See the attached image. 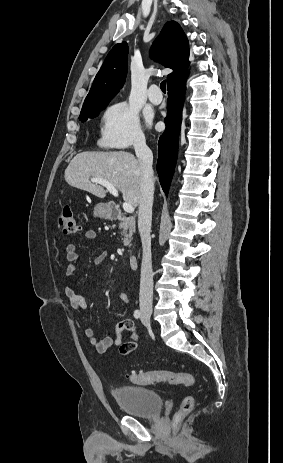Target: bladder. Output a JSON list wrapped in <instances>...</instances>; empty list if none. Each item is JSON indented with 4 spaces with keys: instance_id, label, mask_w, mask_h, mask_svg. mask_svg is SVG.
Wrapping results in <instances>:
<instances>
[{
    "instance_id": "obj_1",
    "label": "bladder",
    "mask_w": 283,
    "mask_h": 463,
    "mask_svg": "<svg viewBox=\"0 0 283 463\" xmlns=\"http://www.w3.org/2000/svg\"><path fill=\"white\" fill-rule=\"evenodd\" d=\"M113 396L120 408L134 417L153 419L162 411V399L151 389L121 386L113 390Z\"/></svg>"
}]
</instances>
